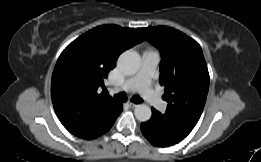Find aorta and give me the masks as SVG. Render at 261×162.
Segmentation results:
<instances>
[{
    "instance_id": "1",
    "label": "aorta",
    "mask_w": 261,
    "mask_h": 162,
    "mask_svg": "<svg viewBox=\"0 0 261 162\" xmlns=\"http://www.w3.org/2000/svg\"><path fill=\"white\" fill-rule=\"evenodd\" d=\"M140 66V58L137 52L127 50L123 52L118 58V67L126 75L135 74ZM137 120L146 122L151 118V108L146 104H139L134 110Z\"/></svg>"
}]
</instances>
